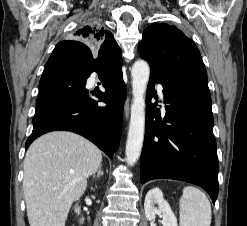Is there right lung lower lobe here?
I'll use <instances>...</instances> for the list:
<instances>
[{"label":"right lung lower lobe","mask_w":247,"mask_h":226,"mask_svg":"<svg viewBox=\"0 0 247 226\" xmlns=\"http://www.w3.org/2000/svg\"><path fill=\"white\" fill-rule=\"evenodd\" d=\"M110 57L99 51L94 60L88 46L76 40L56 45L39 82L33 131L26 149L42 134L67 130L89 139L112 158L121 137L126 86L122 64ZM94 71L105 78V92L96 94L105 107H99L85 88L86 79Z\"/></svg>","instance_id":"right-lung-lower-lobe-1"}]
</instances>
